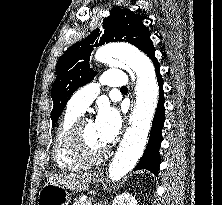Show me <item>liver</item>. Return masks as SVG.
Returning <instances> with one entry per match:
<instances>
[{"mask_svg": "<svg viewBox=\"0 0 222 205\" xmlns=\"http://www.w3.org/2000/svg\"><path fill=\"white\" fill-rule=\"evenodd\" d=\"M93 174L91 172L84 174H59L50 177L47 183L58 184L74 191H85L89 188Z\"/></svg>", "mask_w": 222, "mask_h": 205, "instance_id": "obj_1", "label": "liver"}]
</instances>
